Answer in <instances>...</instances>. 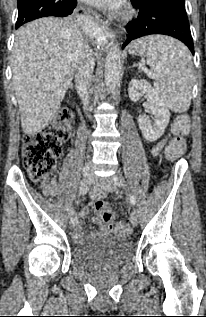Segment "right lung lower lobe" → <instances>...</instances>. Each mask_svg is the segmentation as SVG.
<instances>
[{
	"label": "right lung lower lobe",
	"mask_w": 206,
	"mask_h": 317,
	"mask_svg": "<svg viewBox=\"0 0 206 317\" xmlns=\"http://www.w3.org/2000/svg\"><path fill=\"white\" fill-rule=\"evenodd\" d=\"M76 4V0L60 1V5L57 7L58 17H64L71 14Z\"/></svg>",
	"instance_id": "1"
}]
</instances>
